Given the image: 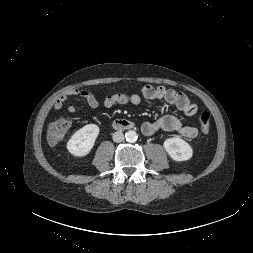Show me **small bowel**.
<instances>
[{
  "label": "small bowel",
  "mask_w": 253,
  "mask_h": 253,
  "mask_svg": "<svg viewBox=\"0 0 253 253\" xmlns=\"http://www.w3.org/2000/svg\"><path fill=\"white\" fill-rule=\"evenodd\" d=\"M73 96L82 97L91 108L99 106V99L97 95L91 91L72 89L61 95L54 104V110L58 111L62 108L63 104ZM157 100H164L168 105L175 106L186 117H192L197 112V106L190 102L187 95L181 91L168 89L164 86L145 85L137 93H114L107 96L104 100V105L108 108L115 105H140L147 103L153 105ZM68 112L74 114L76 108L70 106ZM141 130L144 135L150 136L159 130L168 132H177L183 138L192 140L197 137L198 130L194 126H185L175 116L166 115L156 121H148L142 124Z\"/></svg>",
  "instance_id": "c3829d8e"
}]
</instances>
